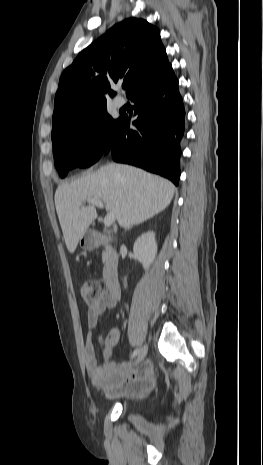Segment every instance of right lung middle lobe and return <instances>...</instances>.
Masks as SVG:
<instances>
[{
  "instance_id": "1",
  "label": "right lung middle lobe",
  "mask_w": 263,
  "mask_h": 465,
  "mask_svg": "<svg viewBox=\"0 0 263 465\" xmlns=\"http://www.w3.org/2000/svg\"><path fill=\"white\" fill-rule=\"evenodd\" d=\"M119 119L114 120L106 109V103L70 112L52 123V143L56 169L65 177L74 167L85 168L95 163L103 153ZM87 140H97L92 148Z\"/></svg>"
}]
</instances>
